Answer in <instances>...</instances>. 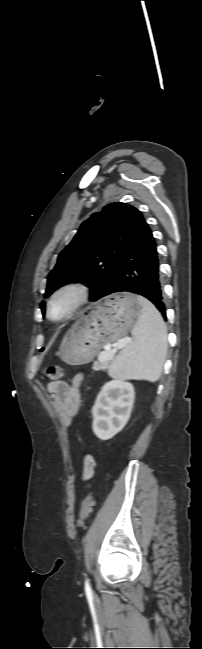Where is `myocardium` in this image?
<instances>
[{"label":"myocardium","mask_w":202,"mask_h":649,"mask_svg":"<svg viewBox=\"0 0 202 649\" xmlns=\"http://www.w3.org/2000/svg\"><path fill=\"white\" fill-rule=\"evenodd\" d=\"M62 296L71 297L70 307L61 317H54L51 310L52 304ZM89 296V287L81 281H71L59 286L47 300L48 318L55 322H62L70 319L87 303Z\"/></svg>","instance_id":"myocardium-1"}]
</instances>
